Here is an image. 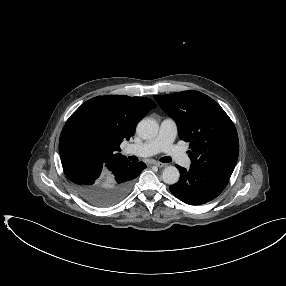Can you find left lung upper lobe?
<instances>
[{
  "mask_svg": "<svg viewBox=\"0 0 286 286\" xmlns=\"http://www.w3.org/2000/svg\"><path fill=\"white\" fill-rule=\"evenodd\" d=\"M154 98L176 121L179 137L190 142L191 166L229 179L237 163L239 141L233 122L221 106L198 91L155 95Z\"/></svg>",
  "mask_w": 286,
  "mask_h": 286,
  "instance_id": "5c2ea615",
  "label": "left lung upper lobe"
}]
</instances>
